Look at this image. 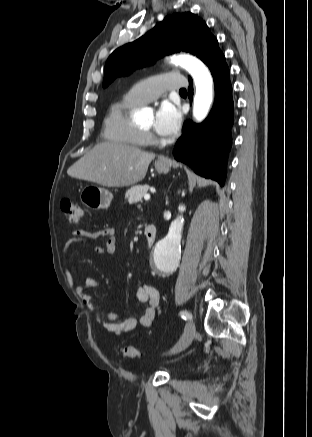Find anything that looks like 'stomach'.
Instances as JSON below:
<instances>
[{"label": "stomach", "instance_id": "obj_1", "mask_svg": "<svg viewBox=\"0 0 312 437\" xmlns=\"http://www.w3.org/2000/svg\"><path fill=\"white\" fill-rule=\"evenodd\" d=\"M172 163L169 160L155 162V169L159 174H167ZM80 200L91 210L108 209L113 200V194L102 187L96 185L85 186L80 193Z\"/></svg>", "mask_w": 312, "mask_h": 437}]
</instances>
